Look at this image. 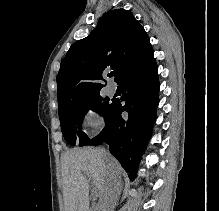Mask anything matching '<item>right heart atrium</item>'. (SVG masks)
I'll list each match as a JSON object with an SVG mask.
<instances>
[{
  "label": "right heart atrium",
  "mask_w": 219,
  "mask_h": 211,
  "mask_svg": "<svg viewBox=\"0 0 219 211\" xmlns=\"http://www.w3.org/2000/svg\"><path fill=\"white\" fill-rule=\"evenodd\" d=\"M83 122L86 129L90 133L95 134L102 129L104 125V117L97 108L90 107L83 115Z\"/></svg>",
  "instance_id": "1"
}]
</instances>
